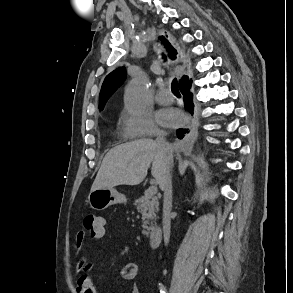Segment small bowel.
Masks as SVG:
<instances>
[{
	"label": "small bowel",
	"mask_w": 293,
	"mask_h": 293,
	"mask_svg": "<svg viewBox=\"0 0 293 293\" xmlns=\"http://www.w3.org/2000/svg\"><path fill=\"white\" fill-rule=\"evenodd\" d=\"M106 233L105 227H103L100 233L92 234L95 238H102ZM87 234L85 231L80 230L76 234V248L80 251L85 243ZM89 270V263L83 260L78 266L77 273ZM138 273V266L135 263H127L123 266L121 271V277L123 280L131 281L134 280ZM77 291L78 293H97L96 287L93 284L91 278L88 275L81 274L77 278ZM131 293H141L138 286L134 285L131 288Z\"/></svg>",
	"instance_id": "obj_1"
}]
</instances>
